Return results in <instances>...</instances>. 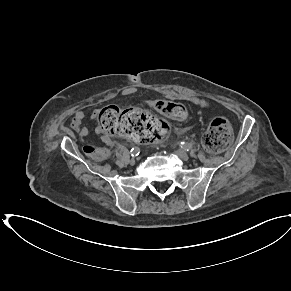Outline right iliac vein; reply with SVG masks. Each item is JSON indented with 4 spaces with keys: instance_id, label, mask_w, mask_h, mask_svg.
<instances>
[{
    "instance_id": "1",
    "label": "right iliac vein",
    "mask_w": 291,
    "mask_h": 291,
    "mask_svg": "<svg viewBox=\"0 0 291 291\" xmlns=\"http://www.w3.org/2000/svg\"><path fill=\"white\" fill-rule=\"evenodd\" d=\"M130 163H131V164H134V163H135V159L132 158V159L130 160Z\"/></svg>"
}]
</instances>
